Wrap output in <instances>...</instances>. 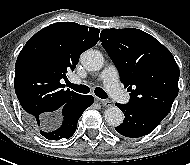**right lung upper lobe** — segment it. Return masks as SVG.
<instances>
[{
    "label": "right lung upper lobe",
    "mask_w": 190,
    "mask_h": 165,
    "mask_svg": "<svg viewBox=\"0 0 190 165\" xmlns=\"http://www.w3.org/2000/svg\"><path fill=\"white\" fill-rule=\"evenodd\" d=\"M99 32L73 22H58L28 40L17 58L14 79L25 115L36 121L45 120L81 96L64 89L60 81L75 69L82 52L98 42Z\"/></svg>",
    "instance_id": "obj_1"
}]
</instances>
